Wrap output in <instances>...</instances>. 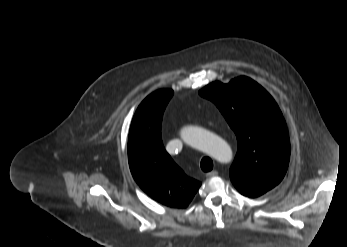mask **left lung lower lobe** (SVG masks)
<instances>
[{
	"instance_id": "obj_1",
	"label": "left lung lower lobe",
	"mask_w": 347,
	"mask_h": 247,
	"mask_svg": "<svg viewBox=\"0 0 347 247\" xmlns=\"http://www.w3.org/2000/svg\"><path fill=\"white\" fill-rule=\"evenodd\" d=\"M240 193H242L243 195L249 196V197H257L261 194H257L255 192H243V191H239Z\"/></svg>"
}]
</instances>
